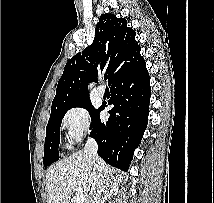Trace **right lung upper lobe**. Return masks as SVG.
I'll list each match as a JSON object with an SVG mask.
<instances>
[{
	"instance_id": "right-lung-upper-lobe-1",
	"label": "right lung upper lobe",
	"mask_w": 214,
	"mask_h": 203,
	"mask_svg": "<svg viewBox=\"0 0 214 203\" xmlns=\"http://www.w3.org/2000/svg\"><path fill=\"white\" fill-rule=\"evenodd\" d=\"M135 31L127 27L124 18L102 14L96 25L91 46L76 54L66 64L61 76L51 112L89 97L88 84L96 81L98 71L109 75L108 84L144 62Z\"/></svg>"
}]
</instances>
